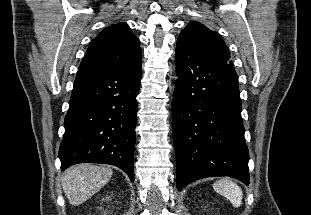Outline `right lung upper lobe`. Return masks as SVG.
Instances as JSON below:
<instances>
[{
	"label": "right lung upper lobe",
	"mask_w": 311,
	"mask_h": 215,
	"mask_svg": "<svg viewBox=\"0 0 311 215\" xmlns=\"http://www.w3.org/2000/svg\"><path fill=\"white\" fill-rule=\"evenodd\" d=\"M139 39L126 23L102 30L89 45L79 66L87 69L130 70L141 64Z\"/></svg>",
	"instance_id": "right-lung-upper-lobe-1"
}]
</instances>
